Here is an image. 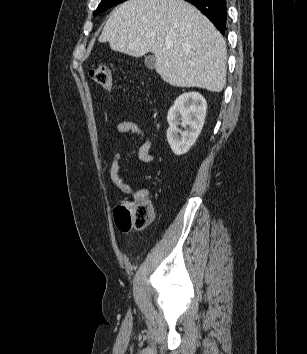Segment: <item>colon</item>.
<instances>
[{
    "label": "colon",
    "instance_id": "5ec220e1",
    "mask_svg": "<svg viewBox=\"0 0 307 354\" xmlns=\"http://www.w3.org/2000/svg\"><path fill=\"white\" fill-rule=\"evenodd\" d=\"M90 76L103 89L109 90L113 81V68L107 64L99 65L90 71ZM152 215V205L147 199L123 200L114 209L115 223L121 231L145 227Z\"/></svg>",
    "mask_w": 307,
    "mask_h": 354
}]
</instances>
